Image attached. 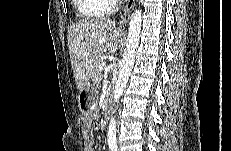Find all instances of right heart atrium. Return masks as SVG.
<instances>
[{
    "mask_svg": "<svg viewBox=\"0 0 231 151\" xmlns=\"http://www.w3.org/2000/svg\"><path fill=\"white\" fill-rule=\"evenodd\" d=\"M117 6V2L116 1H107V11H113Z\"/></svg>",
    "mask_w": 231,
    "mask_h": 151,
    "instance_id": "1",
    "label": "right heart atrium"
}]
</instances>
